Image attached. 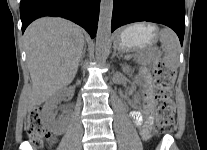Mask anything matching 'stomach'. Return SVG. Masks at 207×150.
Segmentation results:
<instances>
[{
    "label": "stomach",
    "instance_id": "1",
    "mask_svg": "<svg viewBox=\"0 0 207 150\" xmlns=\"http://www.w3.org/2000/svg\"><path fill=\"white\" fill-rule=\"evenodd\" d=\"M157 26L151 23H136L119 32L115 47L121 52H142L156 39Z\"/></svg>",
    "mask_w": 207,
    "mask_h": 150
}]
</instances>
